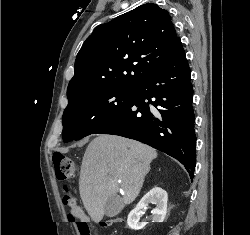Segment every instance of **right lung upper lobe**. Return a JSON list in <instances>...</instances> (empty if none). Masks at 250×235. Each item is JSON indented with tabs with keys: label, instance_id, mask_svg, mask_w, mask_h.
<instances>
[{
	"label": "right lung upper lobe",
	"instance_id": "1",
	"mask_svg": "<svg viewBox=\"0 0 250 235\" xmlns=\"http://www.w3.org/2000/svg\"><path fill=\"white\" fill-rule=\"evenodd\" d=\"M180 38L169 13L143 4L97 26L75 61L68 102L101 89H132L170 59Z\"/></svg>",
	"mask_w": 250,
	"mask_h": 235
}]
</instances>
